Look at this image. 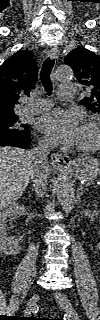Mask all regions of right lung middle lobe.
I'll list each match as a JSON object with an SVG mask.
<instances>
[{"mask_svg": "<svg viewBox=\"0 0 100 320\" xmlns=\"http://www.w3.org/2000/svg\"><path fill=\"white\" fill-rule=\"evenodd\" d=\"M29 126L18 122L17 117L0 119V136L4 135H26L29 134Z\"/></svg>", "mask_w": 100, "mask_h": 320, "instance_id": "obj_1", "label": "right lung middle lobe"}]
</instances>
